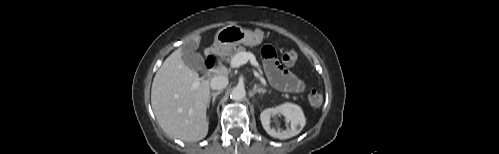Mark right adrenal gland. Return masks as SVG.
Instances as JSON below:
<instances>
[{
  "label": "right adrenal gland",
  "mask_w": 499,
  "mask_h": 154,
  "mask_svg": "<svg viewBox=\"0 0 499 154\" xmlns=\"http://www.w3.org/2000/svg\"><path fill=\"white\" fill-rule=\"evenodd\" d=\"M221 94V91H217V92H213L210 94L209 96V99H208V102H207V107L209 108V105H210V101H211V98H212V104L214 105L215 103V99L216 97Z\"/></svg>",
  "instance_id": "2a0ac1e0"
}]
</instances>
